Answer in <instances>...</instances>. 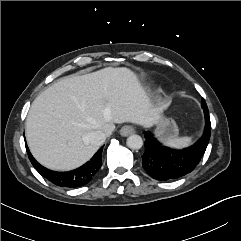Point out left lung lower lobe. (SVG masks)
<instances>
[{"mask_svg":"<svg viewBox=\"0 0 241 241\" xmlns=\"http://www.w3.org/2000/svg\"><path fill=\"white\" fill-rule=\"evenodd\" d=\"M205 132L193 146L183 150H173L161 145L151 134H145V152L142 155V166L154 179L173 180L185 176L194 170L200 162L211 134L209 112L204 110Z\"/></svg>","mask_w":241,"mask_h":241,"instance_id":"0a47b994","label":"left lung lower lobe"}]
</instances>
